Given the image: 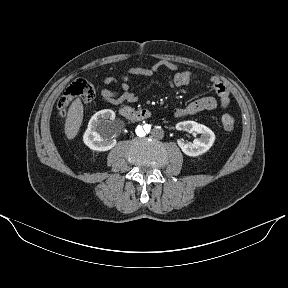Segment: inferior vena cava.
Segmentation results:
<instances>
[{
	"instance_id": "602c4592",
	"label": "inferior vena cava",
	"mask_w": 288,
	"mask_h": 288,
	"mask_svg": "<svg viewBox=\"0 0 288 288\" xmlns=\"http://www.w3.org/2000/svg\"><path fill=\"white\" fill-rule=\"evenodd\" d=\"M150 137L153 140H161L164 137V130L161 127H153L150 130Z\"/></svg>"
}]
</instances>
